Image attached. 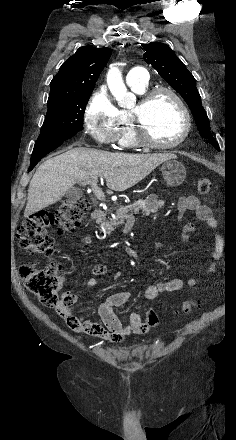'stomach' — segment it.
<instances>
[{
    "mask_svg": "<svg viewBox=\"0 0 236 440\" xmlns=\"http://www.w3.org/2000/svg\"><path fill=\"white\" fill-rule=\"evenodd\" d=\"M160 171L167 185L172 187L181 185L186 177L185 167L175 159L165 161Z\"/></svg>",
    "mask_w": 236,
    "mask_h": 440,
    "instance_id": "1",
    "label": "stomach"
}]
</instances>
